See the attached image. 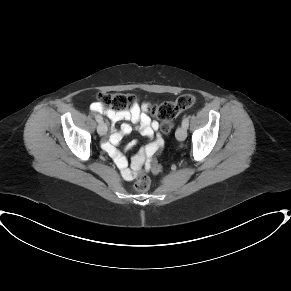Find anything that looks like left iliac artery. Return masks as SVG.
I'll return each instance as SVG.
<instances>
[{
  "mask_svg": "<svg viewBox=\"0 0 291 291\" xmlns=\"http://www.w3.org/2000/svg\"><path fill=\"white\" fill-rule=\"evenodd\" d=\"M182 126L187 129L189 126V119L188 118H184L182 121Z\"/></svg>",
  "mask_w": 291,
  "mask_h": 291,
  "instance_id": "1",
  "label": "left iliac artery"
}]
</instances>
